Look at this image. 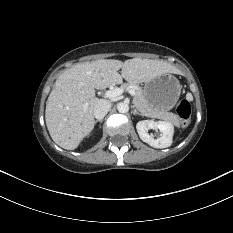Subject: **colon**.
Here are the masks:
<instances>
[{
	"mask_svg": "<svg viewBox=\"0 0 233 233\" xmlns=\"http://www.w3.org/2000/svg\"><path fill=\"white\" fill-rule=\"evenodd\" d=\"M177 114L180 118L181 125L182 126H187L190 122V117H191V103L187 99H182L176 107Z\"/></svg>",
	"mask_w": 233,
	"mask_h": 233,
	"instance_id": "1",
	"label": "colon"
}]
</instances>
